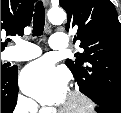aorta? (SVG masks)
<instances>
[{
	"label": "aorta",
	"mask_w": 121,
	"mask_h": 113,
	"mask_svg": "<svg viewBox=\"0 0 121 113\" xmlns=\"http://www.w3.org/2000/svg\"><path fill=\"white\" fill-rule=\"evenodd\" d=\"M48 19L52 24H61L66 19V13L61 8L50 9L48 12Z\"/></svg>",
	"instance_id": "aorta-1"
}]
</instances>
